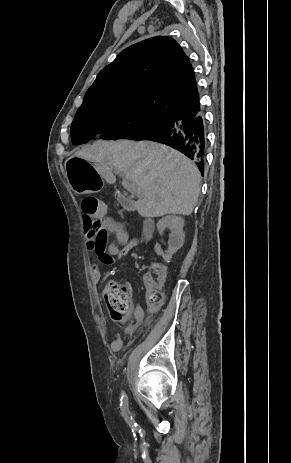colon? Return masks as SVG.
<instances>
[{"label": "colon", "instance_id": "colon-1", "mask_svg": "<svg viewBox=\"0 0 291 463\" xmlns=\"http://www.w3.org/2000/svg\"><path fill=\"white\" fill-rule=\"evenodd\" d=\"M82 212L85 220L83 228L87 230L97 229L100 226V218L104 216L105 204L95 198L86 197L82 200ZM166 278V270L155 266L151 273V283L148 286L146 300L150 311L157 310L164 301L163 283ZM104 299L110 316L118 322L129 318L131 312V295L128 288L116 282H110L104 290Z\"/></svg>", "mask_w": 291, "mask_h": 463}]
</instances>
